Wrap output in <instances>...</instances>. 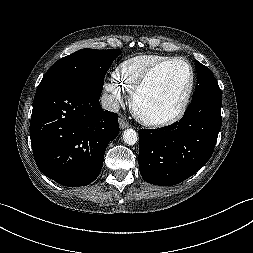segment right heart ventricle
Returning a JSON list of instances; mask_svg holds the SVG:
<instances>
[{"label":"right heart ventricle","instance_id":"1","mask_svg":"<svg viewBox=\"0 0 253 253\" xmlns=\"http://www.w3.org/2000/svg\"><path fill=\"white\" fill-rule=\"evenodd\" d=\"M170 57L161 54H141L122 61L113 71L114 84L122 91L131 94L144 72L153 64Z\"/></svg>","mask_w":253,"mask_h":253}]
</instances>
